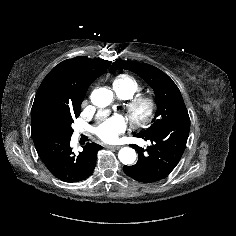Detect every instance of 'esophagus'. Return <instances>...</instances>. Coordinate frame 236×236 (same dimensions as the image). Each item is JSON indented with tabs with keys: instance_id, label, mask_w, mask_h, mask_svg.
Wrapping results in <instances>:
<instances>
[{
	"instance_id": "1",
	"label": "esophagus",
	"mask_w": 236,
	"mask_h": 236,
	"mask_svg": "<svg viewBox=\"0 0 236 236\" xmlns=\"http://www.w3.org/2000/svg\"><path fill=\"white\" fill-rule=\"evenodd\" d=\"M107 148H110V149H120L121 146L120 145H108L106 146Z\"/></svg>"
}]
</instances>
